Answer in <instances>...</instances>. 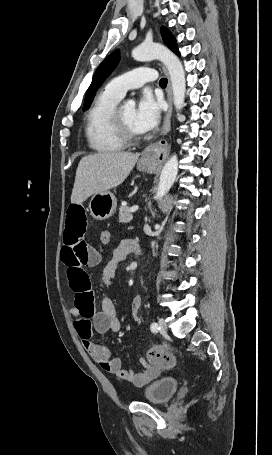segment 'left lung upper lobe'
I'll return each instance as SVG.
<instances>
[{
    "mask_svg": "<svg viewBox=\"0 0 272 455\" xmlns=\"http://www.w3.org/2000/svg\"><path fill=\"white\" fill-rule=\"evenodd\" d=\"M161 34L164 43L176 54L179 55L178 47L176 44V39L171 34V32L166 28H161ZM120 53L119 50L114 51L108 57H106L103 62L97 68L90 87L88 88L85 96L84 108L83 110H87L92 100L95 96L97 89L102 85L105 79L111 74V72L116 68L119 60H120Z\"/></svg>",
    "mask_w": 272,
    "mask_h": 455,
    "instance_id": "obj_1",
    "label": "left lung upper lobe"
}]
</instances>
